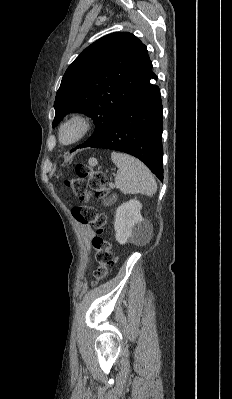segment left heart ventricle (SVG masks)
Returning <instances> with one entry per match:
<instances>
[{
  "mask_svg": "<svg viewBox=\"0 0 232 399\" xmlns=\"http://www.w3.org/2000/svg\"><path fill=\"white\" fill-rule=\"evenodd\" d=\"M80 131V125L78 123H73L66 126L62 133V138L64 141H70L74 139Z\"/></svg>",
  "mask_w": 232,
  "mask_h": 399,
  "instance_id": "left-heart-ventricle-1",
  "label": "left heart ventricle"
}]
</instances>
